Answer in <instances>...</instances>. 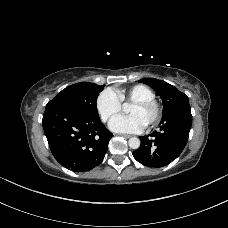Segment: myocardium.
I'll return each instance as SVG.
<instances>
[{"instance_id": "f54148a6", "label": "myocardium", "mask_w": 228, "mask_h": 228, "mask_svg": "<svg viewBox=\"0 0 228 228\" xmlns=\"http://www.w3.org/2000/svg\"><path fill=\"white\" fill-rule=\"evenodd\" d=\"M132 104L144 108V109H152L153 110V118L146 124L148 127H153L159 123L162 117V106L161 104L155 99L149 100H137L134 101Z\"/></svg>"}]
</instances>
